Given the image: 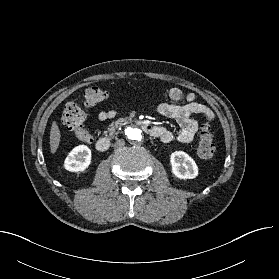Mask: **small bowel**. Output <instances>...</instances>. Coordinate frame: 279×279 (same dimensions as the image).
Masks as SVG:
<instances>
[{
  "label": "small bowel",
  "mask_w": 279,
  "mask_h": 279,
  "mask_svg": "<svg viewBox=\"0 0 279 279\" xmlns=\"http://www.w3.org/2000/svg\"><path fill=\"white\" fill-rule=\"evenodd\" d=\"M167 94L173 102L184 100V103H160L156 110L162 116L174 119L179 124L180 131L175 133L165 127L157 126L158 133L156 137L166 143L175 140L182 143L192 142L196 139L200 130V125L194 115L199 114L212 121L214 119L213 111L208 106L197 102L196 95L193 92L184 94L181 89L172 87L168 89ZM116 114L114 109H105L98 113V119L104 122L115 118Z\"/></svg>",
  "instance_id": "c3829d8e"
}]
</instances>
